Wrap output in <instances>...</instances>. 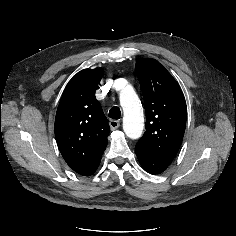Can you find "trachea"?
Returning a JSON list of instances; mask_svg holds the SVG:
<instances>
[{"label":"trachea","mask_w":236,"mask_h":236,"mask_svg":"<svg viewBox=\"0 0 236 236\" xmlns=\"http://www.w3.org/2000/svg\"><path fill=\"white\" fill-rule=\"evenodd\" d=\"M121 111L119 107L114 106L109 110V117L112 119H120Z\"/></svg>","instance_id":"1"}]
</instances>
